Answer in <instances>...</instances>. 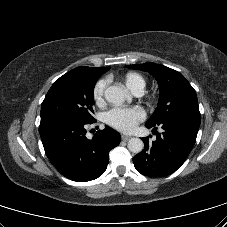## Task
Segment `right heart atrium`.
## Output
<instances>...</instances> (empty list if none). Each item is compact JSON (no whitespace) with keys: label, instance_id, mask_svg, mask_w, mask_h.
I'll return each instance as SVG.
<instances>
[{"label":"right heart atrium","instance_id":"1","mask_svg":"<svg viewBox=\"0 0 227 227\" xmlns=\"http://www.w3.org/2000/svg\"><path fill=\"white\" fill-rule=\"evenodd\" d=\"M108 80L107 79H101L99 80L94 88H93V99L96 104H102L104 100V93L105 89L107 87Z\"/></svg>","mask_w":227,"mask_h":227}]
</instances>
